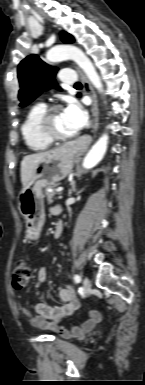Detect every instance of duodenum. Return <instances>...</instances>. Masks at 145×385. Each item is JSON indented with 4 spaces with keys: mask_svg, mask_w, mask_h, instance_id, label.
Masks as SVG:
<instances>
[{
    "mask_svg": "<svg viewBox=\"0 0 145 385\" xmlns=\"http://www.w3.org/2000/svg\"><path fill=\"white\" fill-rule=\"evenodd\" d=\"M63 229V225L61 222H58L57 225L55 226L54 230V236L57 238L61 235Z\"/></svg>",
    "mask_w": 145,
    "mask_h": 385,
    "instance_id": "obj_1",
    "label": "duodenum"
}]
</instances>
